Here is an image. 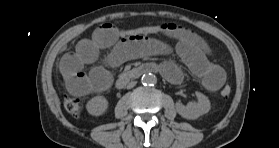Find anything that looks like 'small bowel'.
I'll use <instances>...</instances> for the list:
<instances>
[{
	"mask_svg": "<svg viewBox=\"0 0 279 148\" xmlns=\"http://www.w3.org/2000/svg\"><path fill=\"white\" fill-rule=\"evenodd\" d=\"M170 26L156 33L163 34L166 39L148 36L125 38L119 35L116 25L105 23L92 33L90 38L78 42L73 51L65 53L59 63V71L68 91L83 96L92 92L108 89L112 76L107 67H116L126 61L153 55H166L174 51L183 64L209 91H216L224 84V70L212 60V52L208 44L194 31L174 23H161ZM168 40L175 42L172 46ZM109 49L104 64L96 66L85 73L86 65L95 63L100 52ZM160 72L172 83H179L183 77V69L172 61L159 64Z\"/></svg>",
	"mask_w": 279,
	"mask_h": 148,
	"instance_id": "small-bowel-1",
	"label": "small bowel"
}]
</instances>
